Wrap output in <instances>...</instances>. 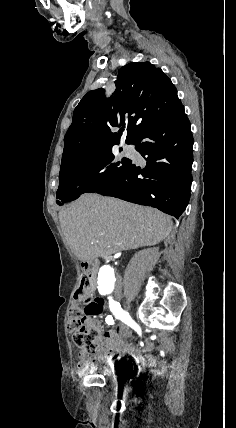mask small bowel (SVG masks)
<instances>
[{"label": "small bowel", "instance_id": "small-bowel-1", "mask_svg": "<svg viewBox=\"0 0 236 428\" xmlns=\"http://www.w3.org/2000/svg\"><path fill=\"white\" fill-rule=\"evenodd\" d=\"M130 335L131 330L125 324H121L116 330L105 332L102 344L93 356H90L86 351H81L78 354V371L85 372L93 369L98 363L114 365L124 355H131L137 362H142L138 349L129 341ZM152 348L153 342L150 340L142 346V350L145 351Z\"/></svg>", "mask_w": 236, "mask_h": 428}]
</instances>
